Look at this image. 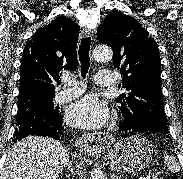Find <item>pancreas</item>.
<instances>
[{"instance_id":"obj_1","label":"pancreas","mask_w":183,"mask_h":179,"mask_svg":"<svg viewBox=\"0 0 183 179\" xmlns=\"http://www.w3.org/2000/svg\"><path fill=\"white\" fill-rule=\"evenodd\" d=\"M148 179H161V178L159 177L158 174H156V175L148 176Z\"/></svg>"}]
</instances>
